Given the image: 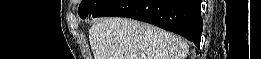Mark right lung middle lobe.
Masks as SVG:
<instances>
[{"label":"right lung middle lobe","instance_id":"dd1d6c3e","mask_svg":"<svg viewBox=\"0 0 261 59\" xmlns=\"http://www.w3.org/2000/svg\"><path fill=\"white\" fill-rule=\"evenodd\" d=\"M111 0H83L78 8V14L81 18L96 14Z\"/></svg>","mask_w":261,"mask_h":59}]
</instances>
